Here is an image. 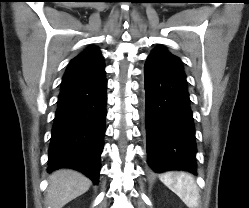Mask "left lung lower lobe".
<instances>
[{"instance_id": "0a47b994", "label": "left lung lower lobe", "mask_w": 249, "mask_h": 208, "mask_svg": "<svg viewBox=\"0 0 249 208\" xmlns=\"http://www.w3.org/2000/svg\"><path fill=\"white\" fill-rule=\"evenodd\" d=\"M147 162L152 172L196 175V138L183 68L148 57L145 69Z\"/></svg>"}]
</instances>
